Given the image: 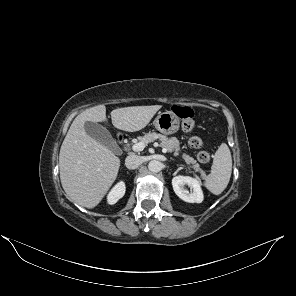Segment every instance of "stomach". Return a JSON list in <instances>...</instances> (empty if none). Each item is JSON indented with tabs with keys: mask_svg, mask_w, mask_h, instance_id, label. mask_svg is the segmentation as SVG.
Returning <instances> with one entry per match:
<instances>
[{
	"mask_svg": "<svg viewBox=\"0 0 296 296\" xmlns=\"http://www.w3.org/2000/svg\"><path fill=\"white\" fill-rule=\"evenodd\" d=\"M155 128L165 134H174L179 130L180 120L179 117L171 111L159 113L154 120Z\"/></svg>",
	"mask_w": 296,
	"mask_h": 296,
	"instance_id": "obj_1",
	"label": "stomach"
}]
</instances>
